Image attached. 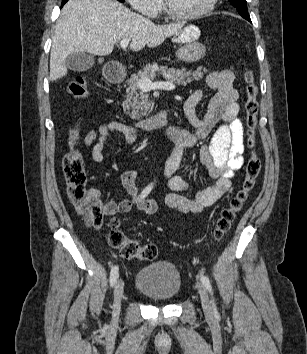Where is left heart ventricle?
<instances>
[{
    "mask_svg": "<svg viewBox=\"0 0 307 354\" xmlns=\"http://www.w3.org/2000/svg\"><path fill=\"white\" fill-rule=\"evenodd\" d=\"M166 2L176 13L187 14L201 10L208 0H166Z\"/></svg>",
    "mask_w": 307,
    "mask_h": 354,
    "instance_id": "1",
    "label": "left heart ventricle"
}]
</instances>
